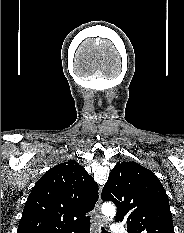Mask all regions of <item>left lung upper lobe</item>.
I'll list each match as a JSON object with an SVG mask.
<instances>
[{"mask_svg": "<svg viewBox=\"0 0 184 233\" xmlns=\"http://www.w3.org/2000/svg\"><path fill=\"white\" fill-rule=\"evenodd\" d=\"M101 198L115 203L116 221H126L128 233H174L164 187L151 170L136 162L117 163Z\"/></svg>", "mask_w": 184, "mask_h": 233, "instance_id": "1", "label": "left lung upper lobe"}]
</instances>
